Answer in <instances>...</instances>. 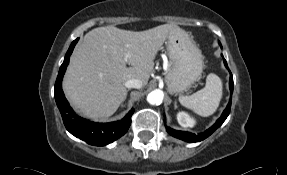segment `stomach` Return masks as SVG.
<instances>
[{
    "mask_svg": "<svg viewBox=\"0 0 287 175\" xmlns=\"http://www.w3.org/2000/svg\"><path fill=\"white\" fill-rule=\"evenodd\" d=\"M167 51L171 61L165 77L168 89L173 94L183 92L199 79L203 71V55L184 30L169 34Z\"/></svg>",
    "mask_w": 287,
    "mask_h": 175,
    "instance_id": "stomach-1",
    "label": "stomach"
}]
</instances>
